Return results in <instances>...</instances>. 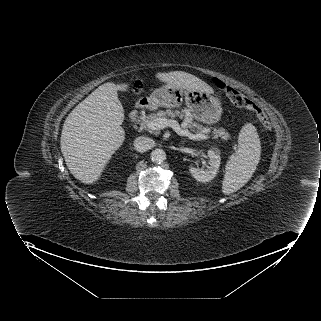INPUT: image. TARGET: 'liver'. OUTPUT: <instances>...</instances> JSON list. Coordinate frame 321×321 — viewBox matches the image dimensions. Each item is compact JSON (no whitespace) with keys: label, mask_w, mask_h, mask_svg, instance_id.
Returning a JSON list of instances; mask_svg holds the SVG:
<instances>
[{"label":"liver","mask_w":321,"mask_h":321,"mask_svg":"<svg viewBox=\"0 0 321 321\" xmlns=\"http://www.w3.org/2000/svg\"><path fill=\"white\" fill-rule=\"evenodd\" d=\"M161 82L187 90L213 89L198 77L183 71L158 73ZM127 84L108 82L95 89L67 116L61 133V152L71 174L85 184L98 180L106 164L125 140L124 109L117 91Z\"/></svg>","instance_id":"liver-1"}]
</instances>
